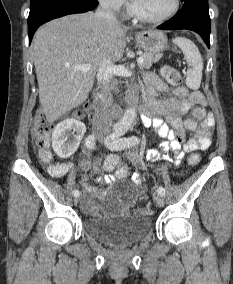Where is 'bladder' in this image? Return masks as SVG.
<instances>
[{"label": "bladder", "instance_id": "31cf9c89", "mask_svg": "<svg viewBox=\"0 0 233 284\" xmlns=\"http://www.w3.org/2000/svg\"><path fill=\"white\" fill-rule=\"evenodd\" d=\"M137 188L129 182L113 185L100 197L103 204L121 205L132 203L137 197ZM95 203V193L91 194ZM84 230L93 238L114 245H127L139 241L152 229V220L147 216L116 215L94 216L83 219Z\"/></svg>", "mask_w": 233, "mask_h": 284}]
</instances>
